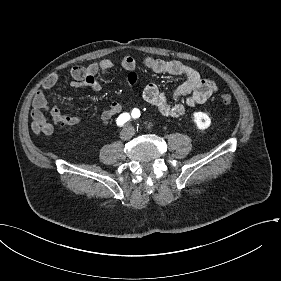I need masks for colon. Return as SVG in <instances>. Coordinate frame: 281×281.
Listing matches in <instances>:
<instances>
[{
  "instance_id": "obj_1",
  "label": "colon",
  "mask_w": 281,
  "mask_h": 281,
  "mask_svg": "<svg viewBox=\"0 0 281 281\" xmlns=\"http://www.w3.org/2000/svg\"><path fill=\"white\" fill-rule=\"evenodd\" d=\"M233 101L232 97L228 94H224L220 96V102L224 105H229Z\"/></svg>"
}]
</instances>
